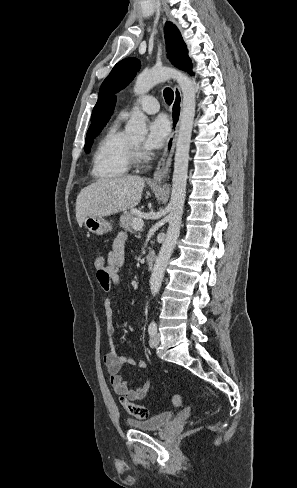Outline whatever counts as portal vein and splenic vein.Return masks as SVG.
<instances>
[{"label": "portal vein and splenic vein", "instance_id": "18ae733b", "mask_svg": "<svg viewBox=\"0 0 297 488\" xmlns=\"http://www.w3.org/2000/svg\"><path fill=\"white\" fill-rule=\"evenodd\" d=\"M132 224L135 230H141L143 228L144 222L142 218H135L132 221Z\"/></svg>", "mask_w": 297, "mask_h": 488}]
</instances>
